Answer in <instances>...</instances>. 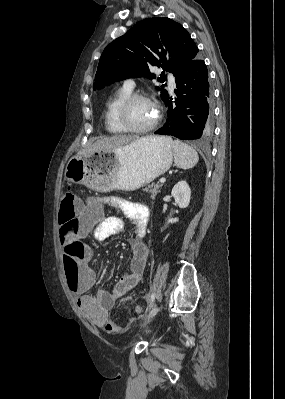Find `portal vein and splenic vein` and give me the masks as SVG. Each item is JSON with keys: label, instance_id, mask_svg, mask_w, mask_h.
Segmentation results:
<instances>
[{"label": "portal vein and splenic vein", "instance_id": "obj_1", "mask_svg": "<svg viewBox=\"0 0 285 399\" xmlns=\"http://www.w3.org/2000/svg\"><path fill=\"white\" fill-rule=\"evenodd\" d=\"M159 181H160V183H164L166 181V179L165 178H161Z\"/></svg>", "mask_w": 285, "mask_h": 399}]
</instances>
